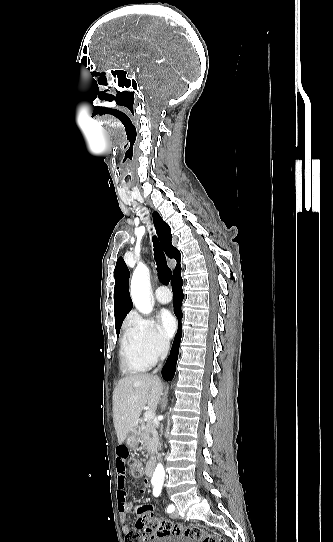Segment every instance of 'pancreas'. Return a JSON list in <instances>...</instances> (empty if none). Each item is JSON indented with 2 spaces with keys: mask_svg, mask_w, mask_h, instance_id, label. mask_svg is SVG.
<instances>
[{
  "mask_svg": "<svg viewBox=\"0 0 333 542\" xmlns=\"http://www.w3.org/2000/svg\"><path fill=\"white\" fill-rule=\"evenodd\" d=\"M140 438L143 450L147 452L150 460H154L155 454L158 448V434L156 432V426L153 420H146V424L143 420H140Z\"/></svg>",
  "mask_w": 333,
  "mask_h": 542,
  "instance_id": "obj_1",
  "label": "pancreas"
}]
</instances>
